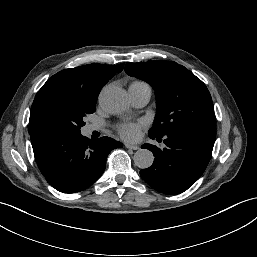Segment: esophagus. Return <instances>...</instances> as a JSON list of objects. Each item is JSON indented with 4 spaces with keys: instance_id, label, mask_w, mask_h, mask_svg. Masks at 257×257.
Wrapping results in <instances>:
<instances>
[{
    "instance_id": "esophagus-1",
    "label": "esophagus",
    "mask_w": 257,
    "mask_h": 257,
    "mask_svg": "<svg viewBox=\"0 0 257 257\" xmlns=\"http://www.w3.org/2000/svg\"><path fill=\"white\" fill-rule=\"evenodd\" d=\"M125 147L127 149H131V150H138L139 149V146L137 145H131V144H125Z\"/></svg>"
}]
</instances>
